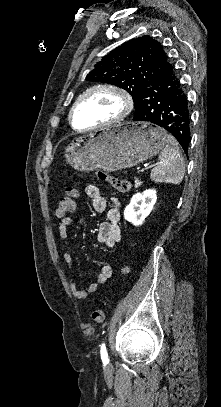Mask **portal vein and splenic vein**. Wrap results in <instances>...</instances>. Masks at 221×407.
Masks as SVG:
<instances>
[{
	"instance_id": "1",
	"label": "portal vein and splenic vein",
	"mask_w": 221,
	"mask_h": 407,
	"mask_svg": "<svg viewBox=\"0 0 221 407\" xmlns=\"http://www.w3.org/2000/svg\"><path fill=\"white\" fill-rule=\"evenodd\" d=\"M147 169H149V167H148V166H145V167L142 168L140 171H141V172H145Z\"/></svg>"
}]
</instances>
